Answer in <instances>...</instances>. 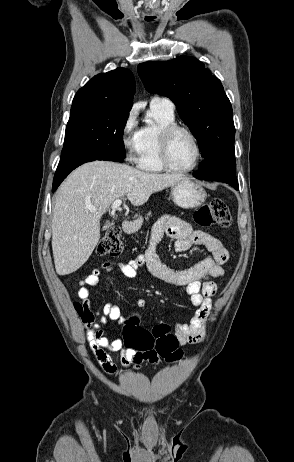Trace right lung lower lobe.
<instances>
[{
  "instance_id": "obj_1",
  "label": "right lung lower lobe",
  "mask_w": 294,
  "mask_h": 462,
  "mask_svg": "<svg viewBox=\"0 0 294 462\" xmlns=\"http://www.w3.org/2000/svg\"><path fill=\"white\" fill-rule=\"evenodd\" d=\"M94 160H108V161H115V162H123L124 158L118 157V156H111V157H105V158H99V159H88V160H83V161H78L74 163H70L64 166H58L54 180H53V186H52V192H54L57 187L61 184V182L67 177V175L80 166L83 163L94 161Z\"/></svg>"
}]
</instances>
